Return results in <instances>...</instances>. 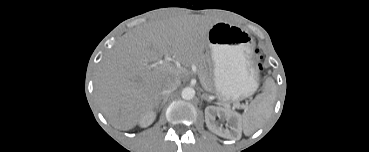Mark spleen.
Segmentation results:
<instances>
[{
	"mask_svg": "<svg viewBox=\"0 0 369 152\" xmlns=\"http://www.w3.org/2000/svg\"><path fill=\"white\" fill-rule=\"evenodd\" d=\"M275 85L268 81L263 93L259 94L239 118L244 133L249 135L255 132L272 113L275 101Z\"/></svg>",
	"mask_w": 369,
	"mask_h": 152,
	"instance_id": "3e777b00",
	"label": "spleen"
}]
</instances>
